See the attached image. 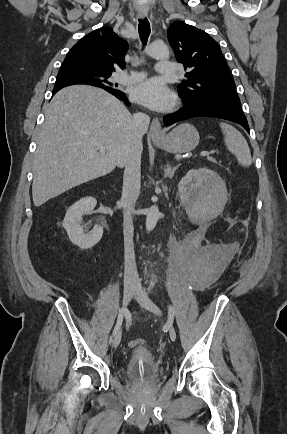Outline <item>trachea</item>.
<instances>
[{
	"label": "trachea",
	"mask_w": 287,
	"mask_h": 434,
	"mask_svg": "<svg viewBox=\"0 0 287 434\" xmlns=\"http://www.w3.org/2000/svg\"><path fill=\"white\" fill-rule=\"evenodd\" d=\"M138 32L143 45H145L151 32L150 23L146 18L139 20Z\"/></svg>",
	"instance_id": "1"
}]
</instances>
